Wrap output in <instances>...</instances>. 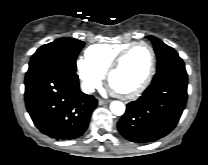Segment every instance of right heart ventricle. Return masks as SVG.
<instances>
[{
    "mask_svg": "<svg viewBox=\"0 0 208 165\" xmlns=\"http://www.w3.org/2000/svg\"><path fill=\"white\" fill-rule=\"evenodd\" d=\"M132 43H97L85 50V58L102 75L106 74L117 54Z\"/></svg>",
    "mask_w": 208,
    "mask_h": 165,
    "instance_id": "right-heart-ventricle-1",
    "label": "right heart ventricle"
}]
</instances>
